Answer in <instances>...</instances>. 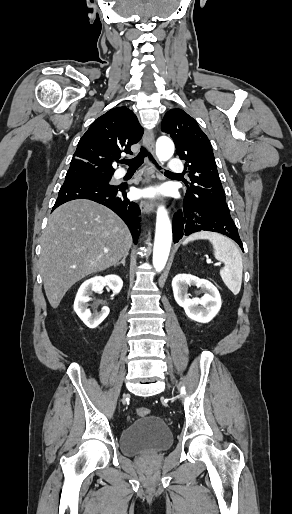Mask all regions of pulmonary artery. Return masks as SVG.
<instances>
[{
  "label": "pulmonary artery",
  "instance_id": "pulmonary-artery-1",
  "mask_svg": "<svg viewBox=\"0 0 292 514\" xmlns=\"http://www.w3.org/2000/svg\"><path fill=\"white\" fill-rule=\"evenodd\" d=\"M168 169L171 172H182L184 170V163L182 161H176L174 158L169 160ZM119 176H123L124 173H118Z\"/></svg>",
  "mask_w": 292,
  "mask_h": 514
}]
</instances>
